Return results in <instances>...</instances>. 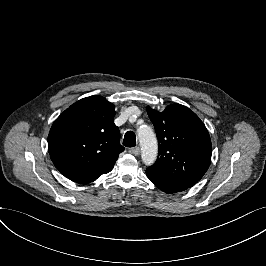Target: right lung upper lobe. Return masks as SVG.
<instances>
[{
    "mask_svg": "<svg viewBox=\"0 0 266 266\" xmlns=\"http://www.w3.org/2000/svg\"><path fill=\"white\" fill-rule=\"evenodd\" d=\"M114 108L104 97L90 96L71 105L55 120L48 150L65 177L85 184L112 170L124 151L113 122Z\"/></svg>",
    "mask_w": 266,
    "mask_h": 266,
    "instance_id": "right-lung-upper-lobe-1",
    "label": "right lung upper lobe"
}]
</instances>
